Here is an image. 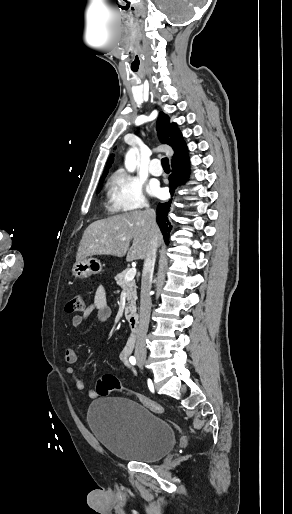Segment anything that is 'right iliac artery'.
Segmentation results:
<instances>
[{
    "label": "right iliac artery",
    "instance_id": "82829eb1",
    "mask_svg": "<svg viewBox=\"0 0 292 514\" xmlns=\"http://www.w3.org/2000/svg\"><path fill=\"white\" fill-rule=\"evenodd\" d=\"M129 361H130V363H131L132 365H135V364H136V358H135L134 356H131V357L129 358Z\"/></svg>",
    "mask_w": 292,
    "mask_h": 514
}]
</instances>
